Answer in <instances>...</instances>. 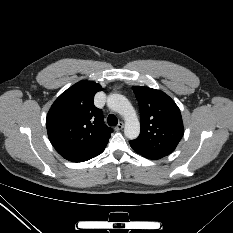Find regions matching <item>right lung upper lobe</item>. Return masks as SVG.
I'll return each mask as SVG.
<instances>
[{
	"mask_svg": "<svg viewBox=\"0 0 233 233\" xmlns=\"http://www.w3.org/2000/svg\"><path fill=\"white\" fill-rule=\"evenodd\" d=\"M100 84L80 81L63 92L51 106L46 120L49 140L56 151L72 162L87 161L106 147L111 128L94 106Z\"/></svg>",
	"mask_w": 233,
	"mask_h": 233,
	"instance_id": "1",
	"label": "right lung upper lobe"
}]
</instances>
